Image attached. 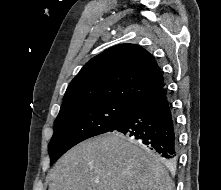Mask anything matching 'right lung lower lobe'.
Masks as SVG:
<instances>
[{
	"mask_svg": "<svg viewBox=\"0 0 221 190\" xmlns=\"http://www.w3.org/2000/svg\"><path fill=\"white\" fill-rule=\"evenodd\" d=\"M117 131L146 145L167 164L177 161V124L166 87L133 105L111 132Z\"/></svg>",
	"mask_w": 221,
	"mask_h": 190,
	"instance_id": "1",
	"label": "right lung lower lobe"
}]
</instances>
